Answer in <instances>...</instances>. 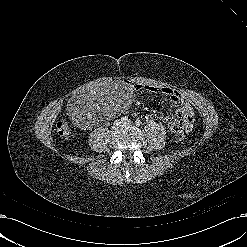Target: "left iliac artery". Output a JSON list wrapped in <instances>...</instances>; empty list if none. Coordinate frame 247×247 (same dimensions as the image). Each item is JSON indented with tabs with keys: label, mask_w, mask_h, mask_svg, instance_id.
<instances>
[{
	"label": "left iliac artery",
	"mask_w": 247,
	"mask_h": 247,
	"mask_svg": "<svg viewBox=\"0 0 247 247\" xmlns=\"http://www.w3.org/2000/svg\"><path fill=\"white\" fill-rule=\"evenodd\" d=\"M136 125H137V126H140V125H141V121H140V120H137V121H136Z\"/></svg>",
	"instance_id": "obj_1"
}]
</instances>
